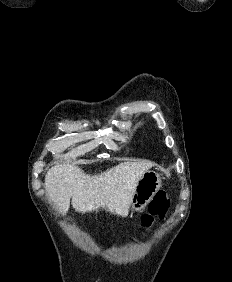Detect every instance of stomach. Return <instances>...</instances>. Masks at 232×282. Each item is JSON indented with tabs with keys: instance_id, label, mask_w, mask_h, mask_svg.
Instances as JSON below:
<instances>
[{
	"instance_id": "obj_1",
	"label": "stomach",
	"mask_w": 232,
	"mask_h": 282,
	"mask_svg": "<svg viewBox=\"0 0 232 282\" xmlns=\"http://www.w3.org/2000/svg\"><path fill=\"white\" fill-rule=\"evenodd\" d=\"M161 186L160 175L152 170L146 171L138 181L132 199L131 210L138 212L144 209Z\"/></svg>"
}]
</instances>
